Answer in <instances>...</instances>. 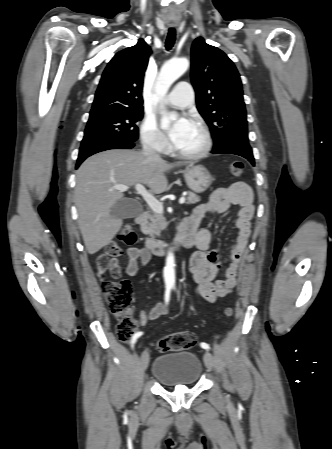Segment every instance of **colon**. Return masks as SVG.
I'll list each match as a JSON object with an SVG mask.
<instances>
[{
	"label": "colon",
	"mask_w": 332,
	"mask_h": 449,
	"mask_svg": "<svg viewBox=\"0 0 332 449\" xmlns=\"http://www.w3.org/2000/svg\"><path fill=\"white\" fill-rule=\"evenodd\" d=\"M230 173L235 178H240L244 173V164L241 161H233L230 164ZM120 239L128 244L136 240V234L132 227H124L120 233ZM123 254L121 247L115 241L111 242L106 250L97 258L98 272L102 279V292L105 296L111 314L119 319L117 335L123 341L133 337L136 323L129 315V306L132 302V284L129 280L109 281L105 279L109 270L116 278L120 274L119 257ZM234 314L232 307L224 310V316L231 318ZM195 335L192 332H177L169 334L155 344L160 352L181 351L191 348L195 343Z\"/></svg>",
	"instance_id": "obj_1"
}]
</instances>
